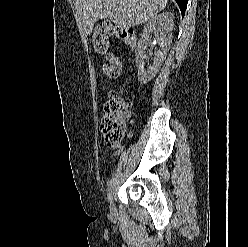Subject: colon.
<instances>
[{
    "instance_id": "5ec220e1",
    "label": "colon",
    "mask_w": 248,
    "mask_h": 247,
    "mask_svg": "<svg viewBox=\"0 0 248 247\" xmlns=\"http://www.w3.org/2000/svg\"><path fill=\"white\" fill-rule=\"evenodd\" d=\"M116 36L125 44L134 47L136 37L133 32L111 23L99 24L93 31L92 43L97 53L104 56L103 72L109 78H116L121 72L119 59L109 49V38ZM130 116L128 104L119 93H112L104 107L101 117L100 131L108 148H119L127 130Z\"/></svg>"
}]
</instances>
